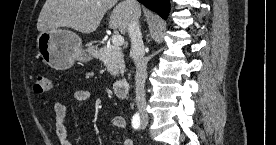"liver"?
<instances>
[{
    "label": "liver",
    "mask_w": 276,
    "mask_h": 145,
    "mask_svg": "<svg viewBox=\"0 0 276 145\" xmlns=\"http://www.w3.org/2000/svg\"><path fill=\"white\" fill-rule=\"evenodd\" d=\"M118 0H46L37 21L39 32L69 27L81 33L94 32L105 13ZM141 13L139 7V15ZM131 19V10L123 3L117 4L110 16L109 28L125 34Z\"/></svg>",
    "instance_id": "liver-1"
}]
</instances>
